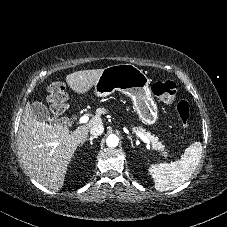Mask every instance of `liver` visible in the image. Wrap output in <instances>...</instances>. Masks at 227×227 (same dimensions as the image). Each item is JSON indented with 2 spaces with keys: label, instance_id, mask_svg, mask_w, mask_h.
<instances>
[{
  "label": "liver",
  "instance_id": "6515ba94",
  "mask_svg": "<svg viewBox=\"0 0 227 227\" xmlns=\"http://www.w3.org/2000/svg\"><path fill=\"white\" fill-rule=\"evenodd\" d=\"M103 69L83 70L66 76L68 86L77 94L91 90ZM101 108L90 121L70 132L61 124L38 121L27 103L18 131V150L28 174L43 186L58 191L64 184L67 167L80 143L95 124L102 123Z\"/></svg>",
  "mask_w": 227,
  "mask_h": 227
}]
</instances>
